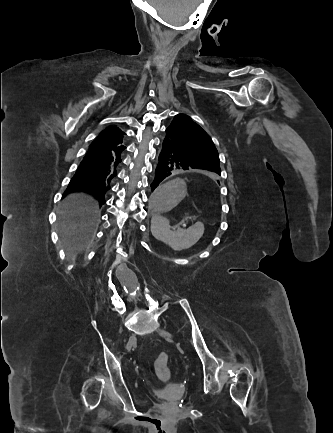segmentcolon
<instances>
[{
  "label": "colon",
  "instance_id": "1",
  "mask_svg": "<svg viewBox=\"0 0 333 433\" xmlns=\"http://www.w3.org/2000/svg\"><path fill=\"white\" fill-rule=\"evenodd\" d=\"M169 361L170 357L167 352H161L155 361L156 374L164 382L170 378Z\"/></svg>",
  "mask_w": 333,
  "mask_h": 433
}]
</instances>
